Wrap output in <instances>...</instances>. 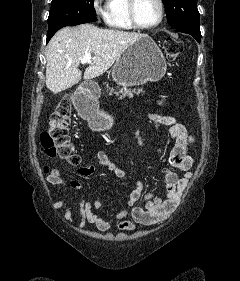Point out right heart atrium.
Wrapping results in <instances>:
<instances>
[{
    "instance_id": "obj_1",
    "label": "right heart atrium",
    "mask_w": 240,
    "mask_h": 281,
    "mask_svg": "<svg viewBox=\"0 0 240 281\" xmlns=\"http://www.w3.org/2000/svg\"><path fill=\"white\" fill-rule=\"evenodd\" d=\"M92 7L96 14L105 17L106 4L102 0H92Z\"/></svg>"
}]
</instances>
